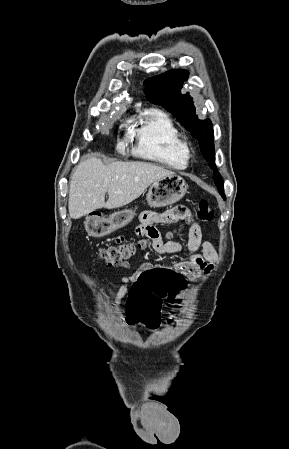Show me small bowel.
Here are the masks:
<instances>
[{"instance_id":"small-bowel-1","label":"small bowel","mask_w":289,"mask_h":449,"mask_svg":"<svg viewBox=\"0 0 289 449\" xmlns=\"http://www.w3.org/2000/svg\"><path fill=\"white\" fill-rule=\"evenodd\" d=\"M187 217L188 210L184 206H177L160 213L145 211L139 216V225L135 229V234L146 237L151 242L155 253L159 255H173L184 250L186 258L174 261L171 268H174L175 271H181V276L184 280L195 281L204 273L210 272L213 263L217 260L215 248L210 242L203 240L198 224L191 223L189 227V238L185 248L177 242H163L160 232L157 229V225H168L179 220H186ZM123 241V236H119L116 239L117 243H122ZM119 266L128 269L129 263L124 262ZM144 268L159 267L145 263L139 266L136 271L128 276L122 277L120 280V286L113 303L120 318H122L119 307L120 303L125 296L130 295V290L133 289V283L136 282L140 271H143Z\"/></svg>"}]
</instances>
